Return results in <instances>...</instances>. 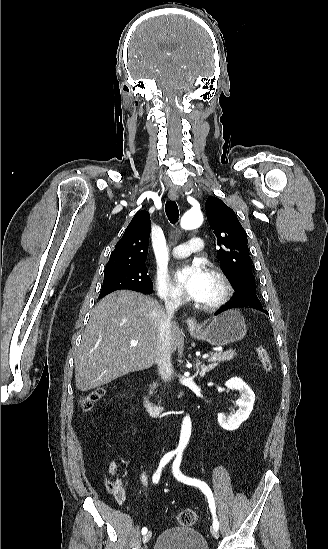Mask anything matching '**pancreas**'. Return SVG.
Listing matches in <instances>:
<instances>
[{
	"label": "pancreas",
	"instance_id": "cf45deb5",
	"mask_svg": "<svg viewBox=\"0 0 328 549\" xmlns=\"http://www.w3.org/2000/svg\"><path fill=\"white\" fill-rule=\"evenodd\" d=\"M211 357L208 359L209 363H212V367H217L218 363H221V361H231V359H234L235 355H237L235 349L232 351H225V353H222V351H219V353H210ZM158 387L157 383H153V385H150L151 391L149 393H153L154 389Z\"/></svg>",
	"mask_w": 328,
	"mask_h": 549
}]
</instances>
